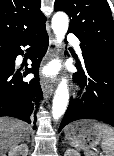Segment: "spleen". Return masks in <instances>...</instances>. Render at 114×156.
Here are the masks:
<instances>
[{
	"mask_svg": "<svg viewBox=\"0 0 114 156\" xmlns=\"http://www.w3.org/2000/svg\"><path fill=\"white\" fill-rule=\"evenodd\" d=\"M96 129L101 135V147L105 156H114V129L107 124L97 123ZM86 156H91V153L85 152Z\"/></svg>",
	"mask_w": 114,
	"mask_h": 156,
	"instance_id": "3e777b00",
	"label": "spleen"
}]
</instances>
